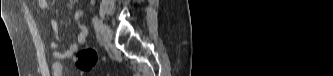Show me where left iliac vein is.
Here are the masks:
<instances>
[{
	"mask_svg": "<svg viewBox=\"0 0 333 76\" xmlns=\"http://www.w3.org/2000/svg\"><path fill=\"white\" fill-rule=\"evenodd\" d=\"M101 35L105 42L110 43V41L112 40L113 33L109 26L102 25Z\"/></svg>",
	"mask_w": 333,
	"mask_h": 76,
	"instance_id": "obj_1",
	"label": "left iliac vein"
}]
</instances>
